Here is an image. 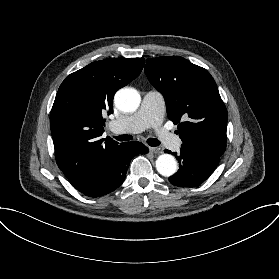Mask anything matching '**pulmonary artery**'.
I'll return each mask as SVG.
<instances>
[{"label": "pulmonary artery", "mask_w": 279, "mask_h": 279, "mask_svg": "<svg viewBox=\"0 0 279 279\" xmlns=\"http://www.w3.org/2000/svg\"><path fill=\"white\" fill-rule=\"evenodd\" d=\"M164 96L161 91L152 89L145 93L140 110L136 114V117H129L126 120H115L111 124L113 131L118 132L121 129L139 128L142 129L148 127H157L164 117ZM160 143L165 144L171 149L177 147L178 142L175 135L168 131H162L158 135Z\"/></svg>", "instance_id": "pulmonary-artery-1"}]
</instances>
